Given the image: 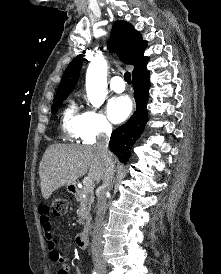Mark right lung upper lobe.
I'll list each match as a JSON object with an SVG mask.
<instances>
[{
    "label": "right lung upper lobe",
    "mask_w": 221,
    "mask_h": 274,
    "mask_svg": "<svg viewBox=\"0 0 221 274\" xmlns=\"http://www.w3.org/2000/svg\"><path fill=\"white\" fill-rule=\"evenodd\" d=\"M147 42L142 40L140 33L126 21H116L113 24L111 37L108 41L110 51H117L121 60L134 65L132 77L147 71L149 58L143 55ZM83 55H78L66 68L56 95H65L73 91L77 84L82 67Z\"/></svg>",
    "instance_id": "cb5924a9"
}]
</instances>
